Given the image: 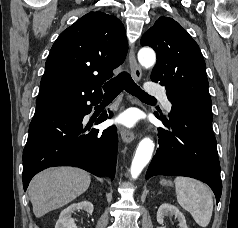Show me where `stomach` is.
I'll return each instance as SVG.
<instances>
[{
	"instance_id": "1",
	"label": "stomach",
	"mask_w": 238,
	"mask_h": 228,
	"mask_svg": "<svg viewBox=\"0 0 238 228\" xmlns=\"http://www.w3.org/2000/svg\"><path fill=\"white\" fill-rule=\"evenodd\" d=\"M161 183L163 185H172V183L170 181H166V180H162Z\"/></svg>"
}]
</instances>
